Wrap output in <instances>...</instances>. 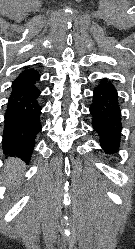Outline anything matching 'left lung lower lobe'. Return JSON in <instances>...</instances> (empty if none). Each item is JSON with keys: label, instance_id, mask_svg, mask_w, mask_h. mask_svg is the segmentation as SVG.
I'll use <instances>...</instances> for the list:
<instances>
[{"label": "left lung lower lobe", "instance_id": "0a47b994", "mask_svg": "<svg viewBox=\"0 0 135 249\" xmlns=\"http://www.w3.org/2000/svg\"><path fill=\"white\" fill-rule=\"evenodd\" d=\"M90 114L101 147L106 154H114L120 145L122 117L118 93L111 80L103 78L95 87Z\"/></svg>", "mask_w": 135, "mask_h": 249}]
</instances>
